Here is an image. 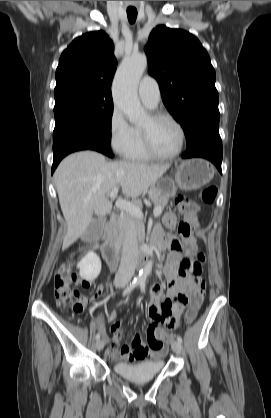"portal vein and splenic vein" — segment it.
I'll return each mask as SVG.
<instances>
[{"instance_id": "obj_1", "label": "portal vein and splenic vein", "mask_w": 271, "mask_h": 418, "mask_svg": "<svg viewBox=\"0 0 271 418\" xmlns=\"http://www.w3.org/2000/svg\"><path fill=\"white\" fill-rule=\"evenodd\" d=\"M118 187L113 188L110 192H109V197L111 199H114L117 194H118ZM115 205L122 210H125L126 212H128L129 214L133 215L136 218L142 219L143 218V212L142 209L138 206L135 205L131 202L125 201V200H117ZM162 213V210L160 207H155L154 211H153V215L155 217L159 216Z\"/></svg>"}]
</instances>
